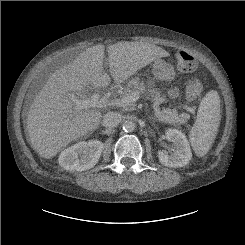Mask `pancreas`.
Listing matches in <instances>:
<instances>
[{
  "label": "pancreas",
  "mask_w": 245,
  "mask_h": 245,
  "mask_svg": "<svg viewBox=\"0 0 245 245\" xmlns=\"http://www.w3.org/2000/svg\"><path fill=\"white\" fill-rule=\"evenodd\" d=\"M133 91H138L141 93L148 92L151 97H152V107L154 110V115L155 117L167 124H172L175 125L177 123L184 124L190 117L189 114L187 113H182L178 114L176 109H170V108H160V105L162 103H166V98L164 95H160L158 91L155 89H152V84L149 86H146L144 82H141L138 77L132 78L128 84L127 87L125 88L122 97L129 95ZM127 110H132L134 109V104H130L129 106L126 107Z\"/></svg>",
  "instance_id": "pancreas-1"
}]
</instances>
